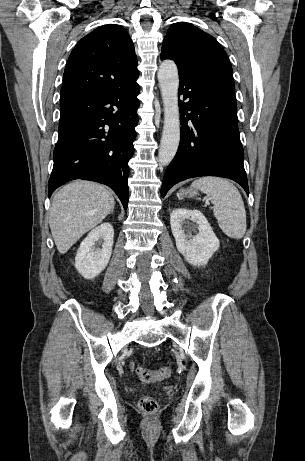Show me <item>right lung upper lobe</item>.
<instances>
[{"mask_svg":"<svg viewBox=\"0 0 305 461\" xmlns=\"http://www.w3.org/2000/svg\"><path fill=\"white\" fill-rule=\"evenodd\" d=\"M138 77L137 57L128 32L120 25H103L72 50L64 70L61 102L108 93Z\"/></svg>","mask_w":305,"mask_h":461,"instance_id":"right-lung-upper-lobe-1","label":"right lung upper lobe"}]
</instances>
